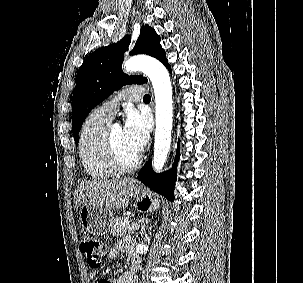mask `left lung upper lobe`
<instances>
[{"mask_svg":"<svg viewBox=\"0 0 303 283\" xmlns=\"http://www.w3.org/2000/svg\"><path fill=\"white\" fill-rule=\"evenodd\" d=\"M130 36L119 42L102 47L90 54L76 76L72 99V131L76 145L79 131L90 111L114 91L126 84H143V76H128L122 72L124 53L128 50ZM147 54L168 64L165 51L160 45V36L149 25L141 27L140 35L130 55Z\"/></svg>","mask_w":303,"mask_h":283,"instance_id":"5c2ea615","label":"left lung upper lobe"}]
</instances>
